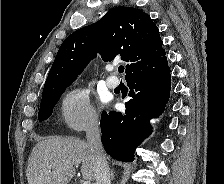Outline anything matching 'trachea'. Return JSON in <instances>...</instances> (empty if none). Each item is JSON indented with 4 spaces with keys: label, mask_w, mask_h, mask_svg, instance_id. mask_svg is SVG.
<instances>
[{
    "label": "trachea",
    "mask_w": 224,
    "mask_h": 184,
    "mask_svg": "<svg viewBox=\"0 0 224 184\" xmlns=\"http://www.w3.org/2000/svg\"><path fill=\"white\" fill-rule=\"evenodd\" d=\"M118 71H119V73L124 72V66H119Z\"/></svg>",
    "instance_id": "obj_1"
}]
</instances>
